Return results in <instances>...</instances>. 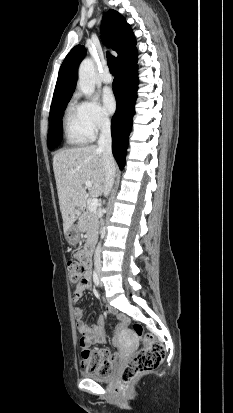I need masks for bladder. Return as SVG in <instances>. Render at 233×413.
I'll return each mask as SVG.
<instances>
[{
	"label": "bladder",
	"mask_w": 233,
	"mask_h": 413,
	"mask_svg": "<svg viewBox=\"0 0 233 413\" xmlns=\"http://www.w3.org/2000/svg\"><path fill=\"white\" fill-rule=\"evenodd\" d=\"M84 376L97 382H108L112 378V373L110 372L108 374L103 375L94 372H89L85 373Z\"/></svg>",
	"instance_id": "bladder-1"
}]
</instances>
